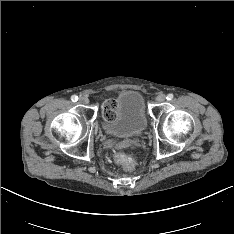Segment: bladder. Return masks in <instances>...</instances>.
I'll return each mask as SVG.
<instances>
[{
	"label": "bladder",
	"mask_w": 234,
	"mask_h": 234,
	"mask_svg": "<svg viewBox=\"0 0 234 234\" xmlns=\"http://www.w3.org/2000/svg\"><path fill=\"white\" fill-rule=\"evenodd\" d=\"M114 104L112 118L105 120V128L108 133L120 137H131L145 131L148 117L144 98L140 92L121 91L116 95Z\"/></svg>",
	"instance_id": "1"
}]
</instances>
